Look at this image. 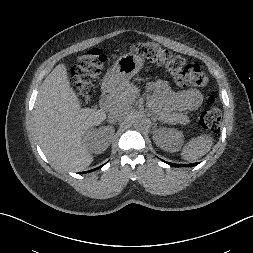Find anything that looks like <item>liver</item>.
Returning a JSON list of instances; mask_svg holds the SVG:
<instances>
[{"label":"liver","instance_id":"liver-1","mask_svg":"<svg viewBox=\"0 0 253 253\" xmlns=\"http://www.w3.org/2000/svg\"><path fill=\"white\" fill-rule=\"evenodd\" d=\"M126 100L130 105L139 90L127 85ZM106 118V111L81 108L70 87L65 64L57 65L43 81L33 111V126L47 159L62 168L82 171L92 162L84 136Z\"/></svg>","mask_w":253,"mask_h":253}]
</instances>
